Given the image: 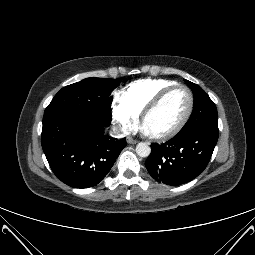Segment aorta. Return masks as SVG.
<instances>
[{"label": "aorta", "instance_id": "aorta-1", "mask_svg": "<svg viewBox=\"0 0 255 255\" xmlns=\"http://www.w3.org/2000/svg\"><path fill=\"white\" fill-rule=\"evenodd\" d=\"M136 153L140 157H148L151 153V148L145 142H140L136 146Z\"/></svg>", "mask_w": 255, "mask_h": 255}]
</instances>
